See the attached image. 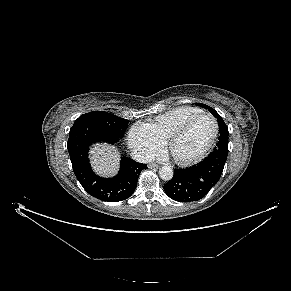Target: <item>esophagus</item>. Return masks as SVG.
Masks as SVG:
<instances>
[{"label": "esophagus", "instance_id": "esophagus-1", "mask_svg": "<svg viewBox=\"0 0 291 291\" xmlns=\"http://www.w3.org/2000/svg\"><path fill=\"white\" fill-rule=\"evenodd\" d=\"M148 167L149 168H159V165L158 164H155V163H150V164H148Z\"/></svg>", "mask_w": 291, "mask_h": 291}]
</instances>
